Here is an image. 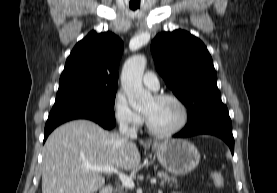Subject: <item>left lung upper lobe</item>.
Returning a JSON list of instances; mask_svg holds the SVG:
<instances>
[{
  "instance_id": "left-lung-upper-lobe-1",
  "label": "left lung upper lobe",
  "mask_w": 277,
  "mask_h": 193,
  "mask_svg": "<svg viewBox=\"0 0 277 193\" xmlns=\"http://www.w3.org/2000/svg\"><path fill=\"white\" fill-rule=\"evenodd\" d=\"M151 52L166 85L187 106L188 120L223 105L212 58L198 38L184 30L162 32L152 41Z\"/></svg>"
}]
</instances>
